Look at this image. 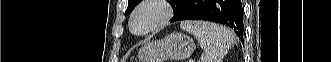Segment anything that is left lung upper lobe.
I'll return each instance as SVG.
<instances>
[{"instance_id": "5c2ea615", "label": "left lung upper lobe", "mask_w": 331, "mask_h": 62, "mask_svg": "<svg viewBox=\"0 0 331 62\" xmlns=\"http://www.w3.org/2000/svg\"><path fill=\"white\" fill-rule=\"evenodd\" d=\"M142 0H128V7L126 10V15L132 12L136 5H138ZM187 0H170L169 3L179 12L184 6Z\"/></svg>"}]
</instances>
